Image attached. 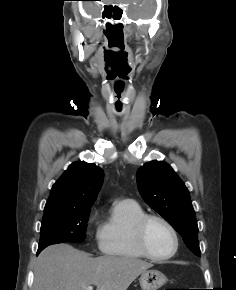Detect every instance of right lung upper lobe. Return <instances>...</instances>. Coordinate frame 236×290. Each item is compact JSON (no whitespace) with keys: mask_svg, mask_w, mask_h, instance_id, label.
<instances>
[{"mask_svg":"<svg viewBox=\"0 0 236 290\" xmlns=\"http://www.w3.org/2000/svg\"><path fill=\"white\" fill-rule=\"evenodd\" d=\"M103 182V170L92 163H72L51 189L44 208L49 211H88Z\"/></svg>","mask_w":236,"mask_h":290,"instance_id":"obj_1","label":"right lung upper lobe"}]
</instances>
